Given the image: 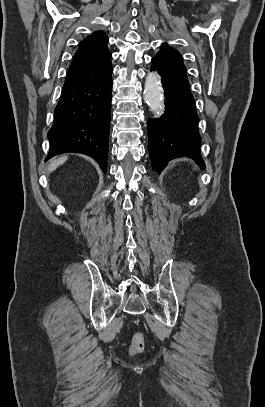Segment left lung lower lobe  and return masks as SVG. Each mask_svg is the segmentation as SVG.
Masks as SVG:
<instances>
[{"mask_svg":"<svg viewBox=\"0 0 265 407\" xmlns=\"http://www.w3.org/2000/svg\"><path fill=\"white\" fill-rule=\"evenodd\" d=\"M151 64V70L161 76L166 100L163 117L148 120V151L153 169L160 173L168 161L184 156L204 168L200 154L199 117L187 77L171 71L155 58Z\"/></svg>","mask_w":265,"mask_h":407,"instance_id":"obj_1","label":"left lung lower lobe"}]
</instances>
